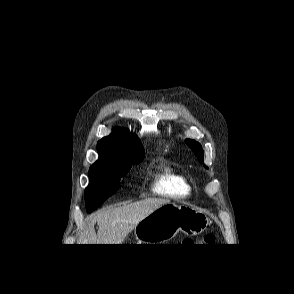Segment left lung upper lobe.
<instances>
[{
  "instance_id": "left-lung-upper-lobe-1",
  "label": "left lung upper lobe",
  "mask_w": 294,
  "mask_h": 294,
  "mask_svg": "<svg viewBox=\"0 0 294 294\" xmlns=\"http://www.w3.org/2000/svg\"><path fill=\"white\" fill-rule=\"evenodd\" d=\"M186 144L193 149L194 153L197 155V158L202 161L204 158V152L201 145L198 142L190 139L186 140Z\"/></svg>"
}]
</instances>
